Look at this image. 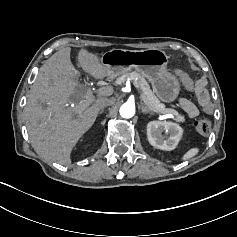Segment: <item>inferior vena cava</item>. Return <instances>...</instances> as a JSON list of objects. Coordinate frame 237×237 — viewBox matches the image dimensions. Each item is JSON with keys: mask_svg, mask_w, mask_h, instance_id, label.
<instances>
[{"mask_svg": "<svg viewBox=\"0 0 237 237\" xmlns=\"http://www.w3.org/2000/svg\"><path fill=\"white\" fill-rule=\"evenodd\" d=\"M115 103V98H104L101 102V108L111 106Z\"/></svg>", "mask_w": 237, "mask_h": 237, "instance_id": "602c4592", "label": "inferior vena cava"}]
</instances>
